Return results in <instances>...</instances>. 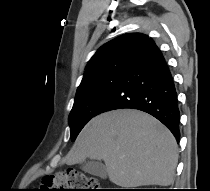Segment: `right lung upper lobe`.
Wrapping results in <instances>:
<instances>
[{"label":"right lung upper lobe","mask_w":210,"mask_h":191,"mask_svg":"<svg viewBox=\"0 0 210 191\" xmlns=\"http://www.w3.org/2000/svg\"><path fill=\"white\" fill-rule=\"evenodd\" d=\"M149 39L141 33H131L119 36L104 44L90 59L86 66L82 81L95 69L105 63L120 57L132 58L135 52ZM82 83V82H81Z\"/></svg>","instance_id":"cb5924a9"}]
</instances>
